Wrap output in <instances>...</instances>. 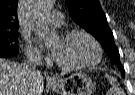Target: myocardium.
Here are the masks:
<instances>
[{
	"label": "myocardium",
	"mask_w": 135,
	"mask_h": 95,
	"mask_svg": "<svg viewBox=\"0 0 135 95\" xmlns=\"http://www.w3.org/2000/svg\"><path fill=\"white\" fill-rule=\"evenodd\" d=\"M76 35H82L90 40V42L93 44L95 48L96 56L94 60H92L91 62L80 64V65H67V64L61 63L60 61L56 59V64L61 69L70 70V71L89 69L99 64L102 60V57H103L102 47L100 43L98 42V40L91 33L85 30L74 29V30L64 32L62 36L63 38H69Z\"/></svg>",
	"instance_id": "myocardium-1"
}]
</instances>
